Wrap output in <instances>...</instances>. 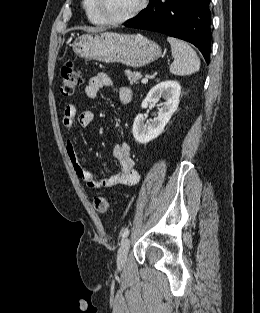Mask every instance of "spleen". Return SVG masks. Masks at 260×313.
Masks as SVG:
<instances>
[{"mask_svg": "<svg viewBox=\"0 0 260 313\" xmlns=\"http://www.w3.org/2000/svg\"><path fill=\"white\" fill-rule=\"evenodd\" d=\"M171 45L173 63L170 65V72L174 75L184 76L199 71L200 60L190 45L179 39L168 37Z\"/></svg>", "mask_w": 260, "mask_h": 313, "instance_id": "1", "label": "spleen"}]
</instances>
